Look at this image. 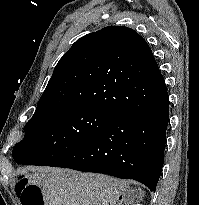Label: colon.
<instances>
[{
    "label": "colon",
    "instance_id": "obj_1",
    "mask_svg": "<svg viewBox=\"0 0 199 205\" xmlns=\"http://www.w3.org/2000/svg\"><path fill=\"white\" fill-rule=\"evenodd\" d=\"M15 190L22 205H44L38 187L29 183L27 175L19 177Z\"/></svg>",
    "mask_w": 199,
    "mask_h": 205
}]
</instances>
